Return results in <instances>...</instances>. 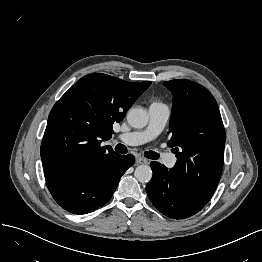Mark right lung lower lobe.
<instances>
[{
  "label": "right lung lower lobe",
  "mask_w": 262,
  "mask_h": 262,
  "mask_svg": "<svg viewBox=\"0 0 262 262\" xmlns=\"http://www.w3.org/2000/svg\"><path fill=\"white\" fill-rule=\"evenodd\" d=\"M135 162L133 155H112L82 168L44 172L54 200L74 214H86L103 206L112 197L121 176Z\"/></svg>",
  "instance_id": "right-lung-lower-lobe-1"
}]
</instances>
